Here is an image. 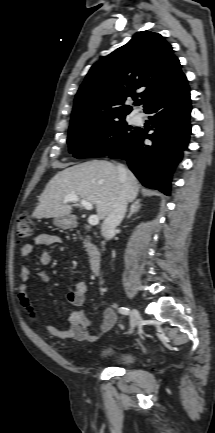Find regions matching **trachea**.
I'll return each instance as SVG.
<instances>
[{
	"mask_svg": "<svg viewBox=\"0 0 215 433\" xmlns=\"http://www.w3.org/2000/svg\"><path fill=\"white\" fill-rule=\"evenodd\" d=\"M140 103H141L140 101H136V105H140Z\"/></svg>",
	"mask_w": 215,
	"mask_h": 433,
	"instance_id": "1",
	"label": "trachea"
}]
</instances>
